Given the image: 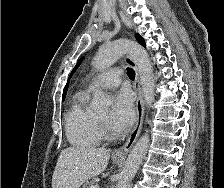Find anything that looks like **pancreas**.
<instances>
[{"mask_svg": "<svg viewBox=\"0 0 224 188\" xmlns=\"http://www.w3.org/2000/svg\"><path fill=\"white\" fill-rule=\"evenodd\" d=\"M95 184H96V180L93 179V180H91V181H89V182H86V183L82 186V188H92V186H94Z\"/></svg>", "mask_w": 224, "mask_h": 188, "instance_id": "cf45deb5", "label": "pancreas"}]
</instances>
